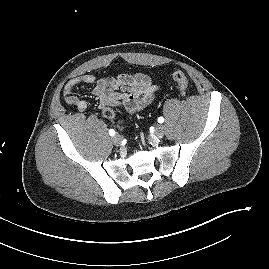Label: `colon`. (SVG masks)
<instances>
[{
    "label": "colon",
    "mask_w": 269,
    "mask_h": 269,
    "mask_svg": "<svg viewBox=\"0 0 269 269\" xmlns=\"http://www.w3.org/2000/svg\"><path fill=\"white\" fill-rule=\"evenodd\" d=\"M173 79L175 83L177 84L180 94L183 96L186 95L189 89V83H188V79L186 75L181 71H176L173 74Z\"/></svg>",
    "instance_id": "obj_1"
}]
</instances>
